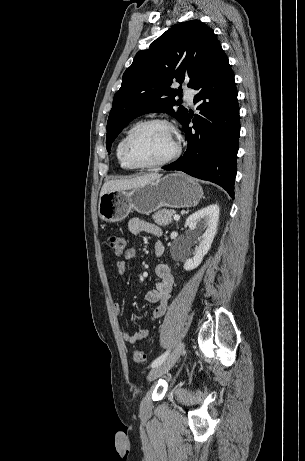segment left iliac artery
I'll list each match as a JSON object with an SVG mask.
<instances>
[{
  "label": "left iliac artery",
  "mask_w": 305,
  "mask_h": 461,
  "mask_svg": "<svg viewBox=\"0 0 305 461\" xmlns=\"http://www.w3.org/2000/svg\"><path fill=\"white\" fill-rule=\"evenodd\" d=\"M170 351H166L164 354H162L161 356H159L158 358H156L152 364H151V367L154 368L158 365H160L168 356Z\"/></svg>",
  "instance_id": "44dca946"
}]
</instances>
